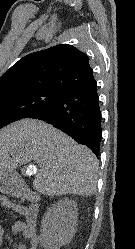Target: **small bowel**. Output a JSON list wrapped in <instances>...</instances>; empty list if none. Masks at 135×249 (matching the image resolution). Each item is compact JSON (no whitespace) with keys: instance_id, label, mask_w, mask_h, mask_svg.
<instances>
[{"instance_id":"c3829d8e","label":"small bowel","mask_w":135,"mask_h":249,"mask_svg":"<svg viewBox=\"0 0 135 249\" xmlns=\"http://www.w3.org/2000/svg\"><path fill=\"white\" fill-rule=\"evenodd\" d=\"M0 206L2 208L12 210L24 217V220H16L12 226L15 234H22L25 238L30 240V245H20L19 249H36L38 244L37 236V208L25 206L12 202L7 196L0 195ZM4 229L0 224V247L3 244Z\"/></svg>"}]
</instances>
